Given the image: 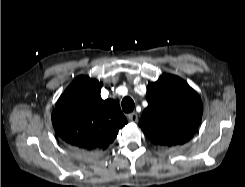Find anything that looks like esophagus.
Wrapping results in <instances>:
<instances>
[{
  "label": "esophagus",
  "mask_w": 245,
  "mask_h": 187,
  "mask_svg": "<svg viewBox=\"0 0 245 187\" xmlns=\"http://www.w3.org/2000/svg\"><path fill=\"white\" fill-rule=\"evenodd\" d=\"M127 117H128L130 122H137L138 121V115L135 112L128 114Z\"/></svg>",
  "instance_id": "esophagus-1"
}]
</instances>
